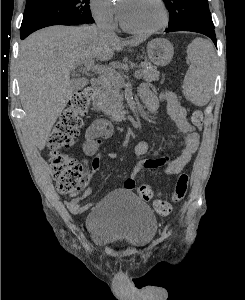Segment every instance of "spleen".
<instances>
[{
  "instance_id": "3e777b00",
  "label": "spleen",
  "mask_w": 245,
  "mask_h": 300,
  "mask_svg": "<svg viewBox=\"0 0 245 300\" xmlns=\"http://www.w3.org/2000/svg\"><path fill=\"white\" fill-rule=\"evenodd\" d=\"M189 69L183 81L185 97L197 106L206 105L212 94L215 52L212 44L197 38L188 46Z\"/></svg>"
}]
</instances>
